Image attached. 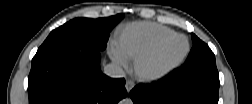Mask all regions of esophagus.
Segmentation results:
<instances>
[{"label": "esophagus", "instance_id": "1", "mask_svg": "<svg viewBox=\"0 0 252 104\" xmlns=\"http://www.w3.org/2000/svg\"><path fill=\"white\" fill-rule=\"evenodd\" d=\"M135 86V83L133 80H127L126 81V90L129 92L133 87Z\"/></svg>", "mask_w": 252, "mask_h": 104}]
</instances>
